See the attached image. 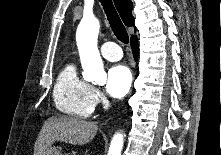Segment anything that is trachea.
Returning a JSON list of instances; mask_svg holds the SVG:
<instances>
[{"mask_svg":"<svg viewBox=\"0 0 221 155\" xmlns=\"http://www.w3.org/2000/svg\"><path fill=\"white\" fill-rule=\"evenodd\" d=\"M99 1L101 2L104 8L109 24L117 39L124 44H128L129 42L128 33L112 3V0H99Z\"/></svg>","mask_w":221,"mask_h":155,"instance_id":"3493384b","label":"trachea"}]
</instances>
